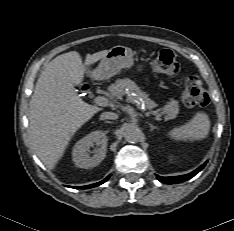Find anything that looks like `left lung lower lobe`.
<instances>
[{
    "label": "left lung lower lobe",
    "instance_id": "obj_1",
    "mask_svg": "<svg viewBox=\"0 0 234 231\" xmlns=\"http://www.w3.org/2000/svg\"><path fill=\"white\" fill-rule=\"evenodd\" d=\"M205 165H206V163H204L199 168H197L193 172L186 174V175L175 176V177H161V176L157 175V179L160 182L166 183V184H174V183L184 182V181L189 180L190 178L194 177L198 172H200L204 168Z\"/></svg>",
    "mask_w": 234,
    "mask_h": 231
}]
</instances>
